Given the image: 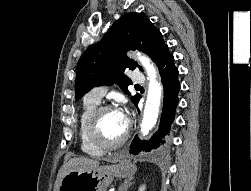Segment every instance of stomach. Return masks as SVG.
Listing matches in <instances>:
<instances>
[{"mask_svg":"<svg viewBox=\"0 0 251 191\" xmlns=\"http://www.w3.org/2000/svg\"><path fill=\"white\" fill-rule=\"evenodd\" d=\"M116 159L111 165H98L92 171L65 173L59 191H106L114 177H132L136 165L126 155H117Z\"/></svg>","mask_w":251,"mask_h":191,"instance_id":"0dacf381","label":"stomach"}]
</instances>
